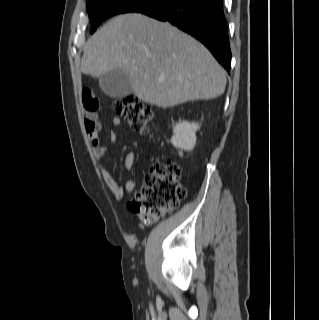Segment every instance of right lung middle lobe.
<instances>
[{
	"instance_id": "1",
	"label": "right lung middle lobe",
	"mask_w": 319,
	"mask_h": 320,
	"mask_svg": "<svg viewBox=\"0 0 319 320\" xmlns=\"http://www.w3.org/2000/svg\"><path fill=\"white\" fill-rule=\"evenodd\" d=\"M162 0H87L86 8L91 23V33L106 18L127 12H137Z\"/></svg>"
}]
</instances>
